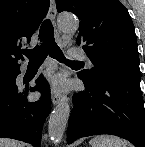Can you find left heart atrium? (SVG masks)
<instances>
[{
    "label": "left heart atrium",
    "mask_w": 145,
    "mask_h": 147,
    "mask_svg": "<svg viewBox=\"0 0 145 147\" xmlns=\"http://www.w3.org/2000/svg\"><path fill=\"white\" fill-rule=\"evenodd\" d=\"M63 89V83L60 79H57L52 84V91L54 93H59Z\"/></svg>",
    "instance_id": "left-heart-atrium-1"
}]
</instances>
